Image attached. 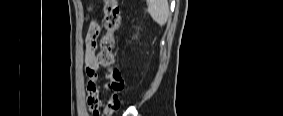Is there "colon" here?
<instances>
[{
	"instance_id": "colon-1",
	"label": "colon",
	"mask_w": 283,
	"mask_h": 116,
	"mask_svg": "<svg viewBox=\"0 0 283 116\" xmlns=\"http://www.w3.org/2000/svg\"><path fill=\"white\" fill-rule=\"evenodd\" d=\"M104 27L105 34L100 40V51L97 56L98 63L105 69L109 80L111 95L99 106L92 109L94 115H112L120 108V93L124 89V82L120 70L116 65L115 48L116 33L120 28L121 9L117 0L104 1Z\"/></svg>"
}]
</instances>
